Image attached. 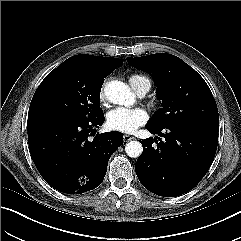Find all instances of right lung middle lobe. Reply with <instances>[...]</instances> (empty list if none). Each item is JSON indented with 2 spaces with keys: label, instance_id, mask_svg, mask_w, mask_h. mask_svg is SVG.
<instances>
[{
  "label": "right lung middle lobe",
  "instance_id": "1",
  "mask_svg": "<svg viewBox=\"0 0 241 241\" xmlns=\"http://www.w3.org/2000/svg\"><path fill=\"white\" fill-rule=\"evenodd\" d=\"M104 78L81 73L67 59L49 73L37 88L28 121L44 118L91 120L103 114L100 91Z\"/></svg>",
  "mask_w": 241,
  "mask_h": 241
}]
</instances>
